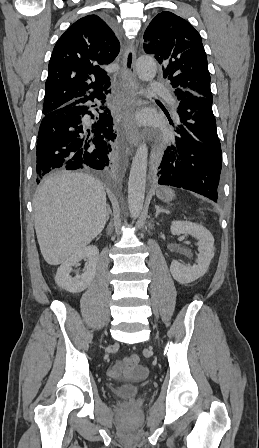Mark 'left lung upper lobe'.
Listing matches in <instances>:
<instances>
[{"label":"left lung upper lobe","mask_w":259,"mask_h":448,"mask_svg":"<svg viewBox=\"0 0 259 448\" xmlns=\"http://www.w3.org/2000/svg\"><path fill=\"white\" fill-rule=\"evenodd\" d=\"M144 50L163 65L173 88L212 99L207 55L200 34L183 18L163 11L144 33Z\"/></svg>","instance_id":"left-lung-upper-lobe-1"}]
</instances>
